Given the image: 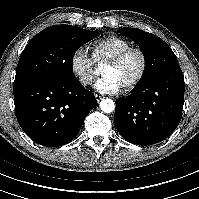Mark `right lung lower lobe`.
Segmentation results:
<instances>
[{
  "label": "right lung lower lobe",
  "mask_w": 199,
  "mask_h": 199,
  "mask_svg": "<svg viewBox=\"0 0 199 199\" xmlns=\"http://www.w3.org/2000/svg\"><path fill=\"white\" fill-rule=\"evenodd\" d=\"M14 103L23 131L38 144L58 147L77 136L97 101L77 78H31L14 83Z\"/></svg>",
  "instance_id": "1"
}]
</instances>
